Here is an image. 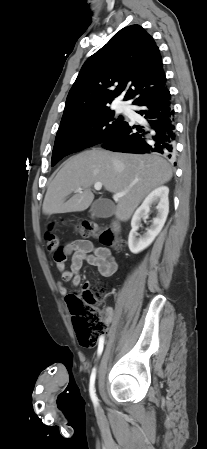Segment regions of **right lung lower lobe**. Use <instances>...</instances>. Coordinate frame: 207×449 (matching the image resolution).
<instances>
[{"label": "right lung lower lobe", "instance_id": "98d812e1", "mask_svg": "<svg viewBox=\"0 0 207 449\" xmlns=\"http://www.w3.org/2000/svg\"><path fill=\"white\" fill-rule=\"evenodd\" d=\"M134 105L146 119L145 125L131 127L124 123L102 143L105 149L126 153L157 152L171 158L174 154L176 128L174 109L168 89L159 95L144 98ZM136 128L137 132L133 129Z\"/></svg>", "mask_w": 207, "mask_h": 449}]
</instances>
